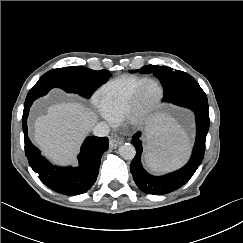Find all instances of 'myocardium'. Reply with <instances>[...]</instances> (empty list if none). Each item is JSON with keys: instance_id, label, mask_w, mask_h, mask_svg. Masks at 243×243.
<instances>
[{"instance_id": "1", "label": "myocardium", "mask_w": 243, "mask_h": 243, "mask_svg": "<svg viewBox=\"0 0 243 243\" xmlns=\"http://www.w3.org/2000/svg\"><path fill=\"white\" fill-rule=\"evenodd\" d=\"M149 84H155L158 89L157 96L149 103H144L142 95ZM164 97V90L160 82L155 79H146L129 99L123 113V119L132 127H142L159 108Z\"/></svg>"}]
</instances>
